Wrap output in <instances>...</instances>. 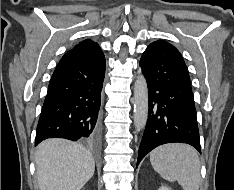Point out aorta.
<instances>
[{
  "label": "aorta",
  "mask_w": 234,
  "mask_h": 190,
  "mask_svg": "<svg viewBox=\"0 0 234 190\" xmlns=\"http://www.w3.org/2000/svg\"><path fill=\"white\" fill-rule=\"evenodd\" d=\"M134 124L135 128L142 130L148 118V87L143 75L137 77L134 84Z\"/></svg>",
  "instance_id": "aorta-1"
}]
</instances>
